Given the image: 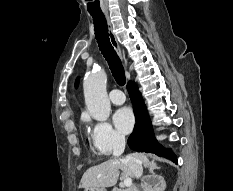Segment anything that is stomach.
Instances as JSON below:
<instances>
[{"mask_svg": "<svg viewBox=\"0 0 233 191\" xmlns=\"http://www.w3.org/2000/svg\"><path fill=\"white\" fill-rule=\"evenodd\" d=\"M84 191H105L102 188H95V189H85Z\"/></svg>", "mask_w": 233, "mask_h": 191, "instance_id": "0dacf381", "label": "stomach"}]
</instances>
